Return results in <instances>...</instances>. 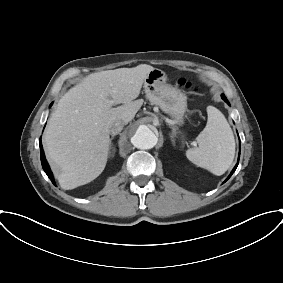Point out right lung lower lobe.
I'll list each match as a JSON object with an SVG mask.
<instances>
[{"label": "right lung lower lobe", "instance_id": "98d812e1", "mask_svg": "<svg viewBox=\"0 0 283 283\" xmlns=\"http://www.w3.org/2000/svg\"><path fill=\"white\" fill-rule=\"evenodd\" d=\"M40 157H41V164H42V167L44 169V171L46 172L47 176L50 178V180L52 181L53 184L54 183V179H53V174L50 170V167L46 161V158H45V155H44V151H43V147H42V143H41V139H40Z\"/></svg>", "mask_w": 283, "mask_h": 283}]
</instances>
